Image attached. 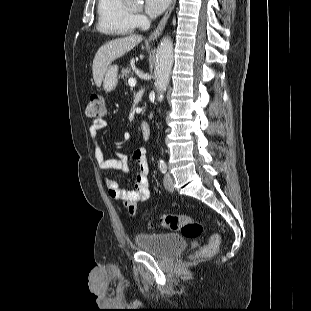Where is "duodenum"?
<instances>
[{"label": "duodenum", "mask_w": 311, "mask_h": 311, "mask_svg": "<svg viewBox=\"0 0 311 311\" xmlns=\"http://www.w3.org/2000/svg\"><path fill=\"white\" fill-rule=\"evenodd\" d=\"M141 132H142V138L143 140H149L151 135V128L150 125L147 122L141 123Z\"/></svg>", "instance_id": "410a0bca"}]
</instances>
